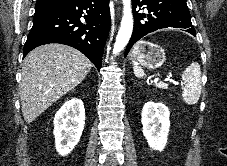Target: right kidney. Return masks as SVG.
<instances>
[{"mask_svg":"<svg viewBox=\"0 0 227 166\" xmlns=\"http://www.w3.org/2000/svg\"><path fill=\"white\" fill-rule=\"evenodd\" d=\"M85 124L83 102L73 98L63 104L54 117V136L56 151L65 156L80 140Z\"/></svg>","mask_w":227,"mask_h":166,"instance_id":"right-kidney-1","label":"right kidney"}]
</instances>
